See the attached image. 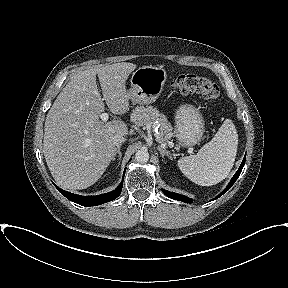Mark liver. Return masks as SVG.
I'll return each mask as SVG.
<instances>
[{
  "mask_svg": "<svg viewBox=\"0 0 288 288\" xmlns=\"http://www.w3.org/2000/svg\"><path fill=\"white\" fill-rule=\"evenodd\" d=\"M135 68L122 62L79 71L57 96L46 116L43 153L58 185L85 189L98 181L113 160L117 150L113 138L126 136L128 127L121 120L99 118L104 101L113 114L128 111L126 80Z\"/></svg>",
  "mask_w": 288,
  "mask_h": 288,
  "instance_id": "6515ba94",
  "label": "liver"
}]
</instances>
